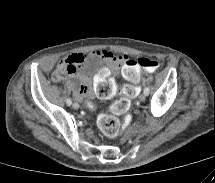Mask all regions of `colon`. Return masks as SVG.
<instances>
[{
  "label": "colon",
  "instance_id": "5ec220e1",
  "mask_svg": "<svg viewBox=\"0 0 215 183\" xmlns=\"http://www.w3.org/2000/svg\"><path fill=\"white\" fill-rule=\"evenodd\" d=\"M159 67L160 63L158 61L149 58L128 60L125 63L122 68V75L126 80L123 88L124 96L116 98L109 106L108 112L101 114L98 120L99 127L105 135L112 137L118 134L120 129L118 116H125L126 121H130L128 114L129 98H134L138 93L136 84L140 79V69L153 72ZM70 73L71 71L66 65H60L55 72V79L63 78L70 75Z\"/></svg>",
  "mask_w": 215,
  "mask_h": 183
}]
</instances>
